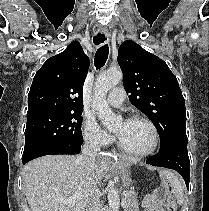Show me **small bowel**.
<instances>
[{"label": "small bowel", "mask_w": 209, "mask_h": 211, "mask_svg": "<svg viewBox=\"0 0 209 211\" xmlns=\"http://www.w3.org/2000/svg\"><path fill=\"white\" fill-rule=\"evenodd\" d=\"M166 199L164 189H157L144 198V205L147 211H166L163 204Z\"/></svg>", "instance_id": "1"}]
</instances>
